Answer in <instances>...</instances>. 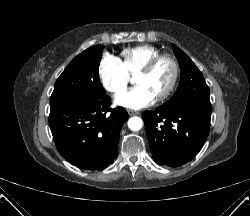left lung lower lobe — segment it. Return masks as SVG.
I'll list each match as a JSON object with an SVG mask.
<instances>
[{
    "mask_svg": "<svg viewBox=\"0 0 250 216\" xmlns=\"http://www.w3.org/2000/svg\"><path fill=\"white\" fill-rule=\"evenodd\" d=\"M152 157L159 165L179 167L203 147L210 129L211 109L187 105L173 110L161 106L142 114Z\"/></svg>",
    "mask_w": 250,
    "mask_h": 216,
    "instance_id": "1",
    "label": "left lung lower lobe"
}]
</instances>
